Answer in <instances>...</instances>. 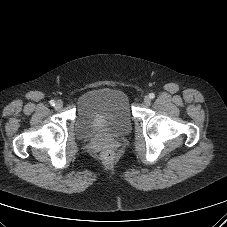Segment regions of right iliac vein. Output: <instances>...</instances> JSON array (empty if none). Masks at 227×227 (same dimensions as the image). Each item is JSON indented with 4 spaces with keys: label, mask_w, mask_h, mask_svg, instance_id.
<instances>
[{
    "label": "right iliac vein",
    "mask_w": 227,
    "mask_h": 227,
    "mask_svg": "<svg viewBox=\"0 0 227 227\" xmlns=\"http://www.w3.org/2000/svg\"><path fill=\"white\" fill-rule=\"evenodd\" d=\"M63 107V102L61 100H58L55 104V109L59 110Z\"/></svg>",
    "instance_id": "1"
}]
</instances>
